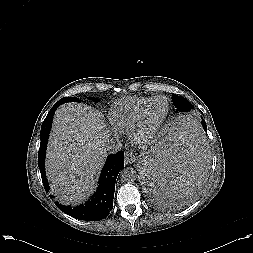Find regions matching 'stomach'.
<instances>
[{
  "label": "stomach",
  "mask_w": 253,
  "mask_h": 253,
  "mask_svg": "<svg viewBox=\"0 0 253 253\" xmlns=\"http://www.w3.org/2000/svg\"><path fill=\"white\" fill-rule=\"evenodd\" d=\"M152 154L146 156L144 159H142V161L140 162V173L141 175H143V172H144V165H145V162L146 160L151 156Z\"/></svg>",
  "instance_id": "stomach-1"
}]
</instances>
